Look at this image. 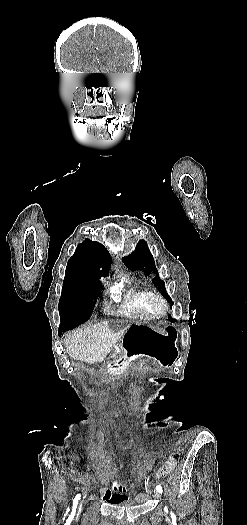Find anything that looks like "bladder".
I'll use <instances>...</instances> for the list:
<instances>
[{"mask_svg": "<svg viewBox=\"0 0 247 525\" xmlns=\"http://www.w3.org/2000/svg\"><path fill=\"white\" fill-rule=\"evenodd\" d=\"M141 504H142V502H141V497L140 496H137L136 498H134L132 500H128L126 502L115 503V505L120 506V507H132V506H137V505H141Z\"/></svg>", "mask_w": 247, "mask_h": 525, "instance_id": "bladder-1", "label": "bladder"}]
</instances>
